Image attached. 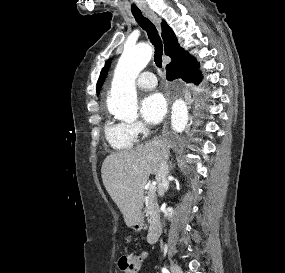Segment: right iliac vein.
Listing matches in <instances>:
<instances>
[{"instance_id":"1","label":"right iliac vein","mask_w":285,"mask_h":273,"mask_svg":"<svg viewBox=\"0 0 285 273\" xmlns=\"http://www.w3.org/2000/svg\"><path fill=\"white\" fill-rule=\"evenodd\" d=\"M170 269L172 273H183L181 268L175 263L170 264Z\"/></svg>"}]
</instances>
